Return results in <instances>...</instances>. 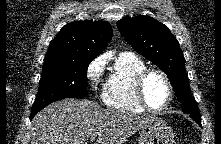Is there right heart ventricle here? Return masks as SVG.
Returning a JSON list of instances; mask_svg holds the SVG:
<instances>
[{"label": "right heart ventricle", "instance_id": "1", "mask_svg": "<svg viewBox=\"0 0 221 144\" xmlns=\"http://www.w3.org/2000/svg\"><path fill=\"white\" fill-rule=\"evenodd\" d=\"M146 67L145 63L131 53H121L114 60L103 91V101L111 109L142 113L145 110L135 97L134 80Z\"/></svg>", "mask_w": 221, "mask_h": 144}]
</instances>
